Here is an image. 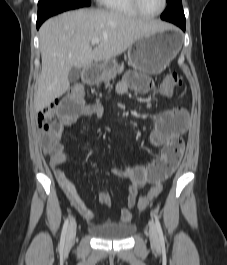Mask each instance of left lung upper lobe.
Masks as SVG:
<instances>
[{
  "label": "left lung upper lobe",
  "instance_id": "5c2ea615",
  "mask_svg": "<svg viewBox=\"0 0 227 265\" xmlns=\"http://www.w3.org/2000/svg\"><path fill=\"white\" fill-rule=\"evenodd\" d=\"M167 8L161 15L163 20L173 22L176 20L185 21L181 0H166Z\"/></svg>",
  "mask_w": 227,
  "mask_h": 265
}]
</instances>
